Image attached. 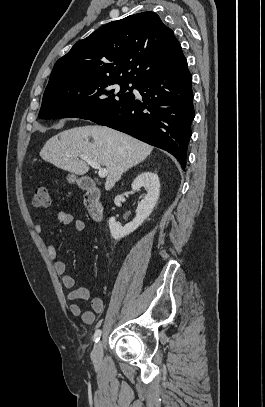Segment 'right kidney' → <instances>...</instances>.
Masks as SVG:
<instances>
[{
  "label": "right kidney",
  "mask_w": 265,
  "mask_h": 407,
  "mask_svg": "<svg viewBox=\"0 0 265 407\" xmlns=\"http://www.w3.org/2000/svg\"><path fill=\"white\" fill-rule=\"evenodd\" d=\"M131 186L134 191H139L141 187H144L147 194L139 204L136 217L132 222L122 227L116 222L115 217L109 219L110 233L115 240L134 232L152 213L159 197L160 182L156 173L142 172L135 178Z\"/></svg>",
  "instance_id": "right-kidney-1"
}]
</instances>
